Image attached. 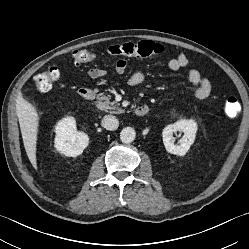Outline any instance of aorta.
Instances as JSON below:
<instances>
[{
    "label": "aorta",
    "instance_id": "762f6f07",
    "mask_svg": "<svg viewBox=\"0 0 249 249\" xmlns=\"http://www.w3.org/2000/svg\"><path fill=\"white\" fill-rule=\"evenodd\" d=\"M136 136V132L133 128L131 127H125L122 129V131L120 132V140L123 143H131L134 141Z\"/></svg>",
    "mask_w": 249,
    "mask_h": 249
}]
</instances>
